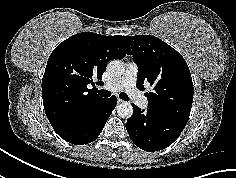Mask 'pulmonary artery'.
Segmentation results:
<instances>
[{"instance_id": "1", "label": "pulmonary artery", "mask_w": 236, "mask_h": 178, "mask_svg": "<svg viewBox=\"0 0 236 178\" xmlns=\"http://www.w3.org/2000/svg\"><path fill=\"white\" fill-rule=\"evenodd\" d=\"M138 74L139 70L137 64L129 62L126 64L123 76L112 83L104 85L103 89L109 92L126 91L135 104L141 107H147V98L142 95L136 87Z\"/></svg>"}]
</instances>
